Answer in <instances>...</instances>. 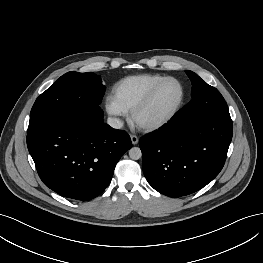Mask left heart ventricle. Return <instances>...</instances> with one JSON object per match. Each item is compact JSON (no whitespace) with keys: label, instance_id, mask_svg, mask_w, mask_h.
<instances>
[{"label":"left heart ventricle","instance_id":"left-heart-ventricle-1","mask_svg":"<svg viewBox=\"0 0 263 263\" xmlns=\"http://www.w3.org/2000/svg\"><path fill=\"white\" fill-rule=\"evenodd\" d=\"M182 89L174 80L166 81L156 92L150 105L138 116V122L148 123L165 117L178 105Z\"/></svg>","mask_w":263,"mask_h":263}]
</instances>
